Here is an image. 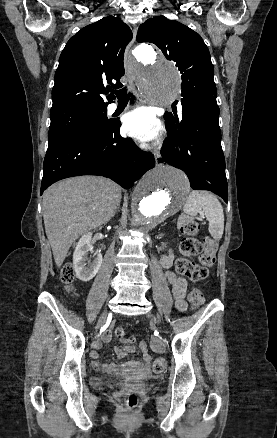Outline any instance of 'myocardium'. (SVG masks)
Instances as JSON below:
<instances>
[{
  "instance_id": "f54148a6",
  "label": "myocardium",
  "mask_w": 277,
  "mask_h": 438,
  "mask_svg": "<svg viewBox=\"0 0 277 438\" xmlns=\"http://www.w3.org/2000/svg\"><path fill=\"white\" fill-rule=\"evenodd\" d=\"M131 50H134V46L131 48Z\"/></svg>"
}]
</instances>
